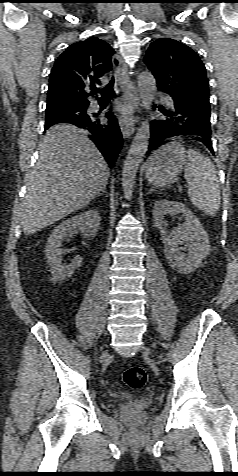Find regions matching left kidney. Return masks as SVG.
Here are the masks:
<instances>
[{
  "instance_id": "1",
  "label": "left kidney",
  "mask_w": 238,
  "mask_h": 476,
  "mask_svg": "<svg viewBox=\"0 0 238 476\" xmlns=\"http://www.w3.org/2000/svg\"><path fill=\"white\" fill-rule=\"evenodd\" d=\"M182 214L185 223L178 229L167 233L166 214ZM154 226L159 229L164 244V255L170 267L181 274H189L199 268L203 259L209 254L208 236L199 219L183 204L176 201L159 199L153 207ZM187 244L188 254L180 247Z\"/></svg>"
}]
</instances>
